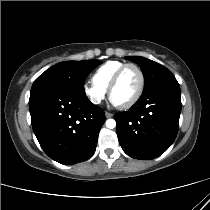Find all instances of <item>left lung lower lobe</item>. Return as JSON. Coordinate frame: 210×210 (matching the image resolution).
<instances>
[{
	"label": "left lung lower lobe",
	"mask_w": 210,
	"mask_h": 210,
	"mask_svg": "<svg viewBox=\"0 0 210 210\" xmlns=\"http://www.w3.org/2000/svg\"><path fill=\"white\" fill-rule=\"evenodd\" d=\"M181 106L180 86L173 79L143 92L129 111L115 114L124 152L141 160L163 154L176 138Z\"/></svg>",
	"instance_id": "0a47b994"
}]
</instances>
